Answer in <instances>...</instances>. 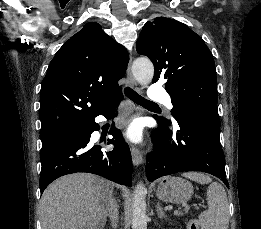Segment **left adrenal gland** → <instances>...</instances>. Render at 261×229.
<instances>
[{
    "mask_svg": "<svg viewBox=\"0 0 261 229\" xmlns=\"http://www.w3.org/2000/svg\"><path fill=\"white\" fill-rule=\"evenodd\" d=\"M156 209H157V217H159V219H166V215H165L164 211H162V209L160 207V203H157Z\"/></svg>",
    "mask_w": 261,
    "mask_h": 229,
    "instance_id": "obj_1",
    "label": "left adrenal gland"
}]
</instances>
